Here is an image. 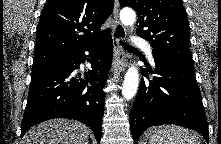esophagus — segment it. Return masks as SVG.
I'll use <instances>...</instances> for the list:
<instances>
[{"instance_id":"1","label":"esophagus","mask_w":221,"mask_h":144,"mask_svg":"<svg viewBox=\"0 0 221 144\" xmlns=\"http://www.w3.org/2000/svg\"><path fill=\"white\" fill-rule=\"evenodd\" d=\"M118 0H115V6L113 9L114 18V28H113V42H114V57L112 68L114 71L122 72L125 69L127 62V55L125 50L122 48L120 41L126 39L125 27L119 22L118 12H119Z\"/></svg>"}]
</instances>
